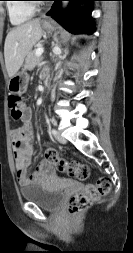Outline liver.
Instances as JSON below:
<instances>
[{
    "mask_svg": "<svg viewBox=\"0 0 133 253\" xmlns=\"http://www.w3.org/2000/svg\"><path fill=\"white\" fill-rule=\"evenodd\" d=\"M41 37L42 29L39 19L17 26L7 34L4 45V57L10 78L19 71L26 55Z\"/></svg>",
    "mask_w": 133,
    "mask_h": 253,
    "instance_id": "1",
    "label": "liver"
}]
</instances>
